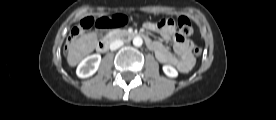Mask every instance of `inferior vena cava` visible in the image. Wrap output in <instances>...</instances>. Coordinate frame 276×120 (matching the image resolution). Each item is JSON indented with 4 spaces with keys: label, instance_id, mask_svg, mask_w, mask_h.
I'll list each match as a JSON object with an SVG mask.
<instances>
[{
    "label": "inferior vena cava",
    "instance_id": "inferior-vena-cava-1",
    "mask_svg": "<svg viewBox=\"0 0 276 120\" xmlns=\"http://www.w3.org/2000/svg\"><path fill=\"white\" fill-rule=\"evenodd\" d=\"M123 45V41L115 40L110 44V50L114 51Z\"/></svg>",
    "mask_w": 276,
    "mask_h": 120
}]
</instances>
